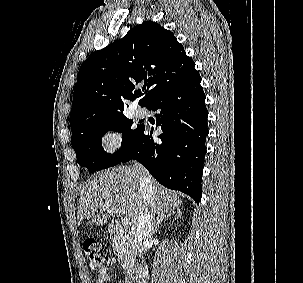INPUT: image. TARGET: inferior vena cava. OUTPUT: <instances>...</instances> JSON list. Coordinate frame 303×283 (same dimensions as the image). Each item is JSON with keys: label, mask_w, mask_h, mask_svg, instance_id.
<instances>
[{"label": "inferior vena cava", "mask_w": 303, "mask_h": 283, "mask_svg": "<svg viewBox=\"0 0 303 283\" xmlns=\"http://www.w3.org/2000/svg\"><path fill=\"white\" fill-rule=\"evenodd\" d=\"M133 168L141 172L139 177L141 203L134 239L137 250L141 255L143 246L149 242L154 233V218L152 213L149 211V207L152 203L153 186L149 173L141 164L134 162Z\"/></svg>", "instance_id": "obj_1"}]
</instances>
